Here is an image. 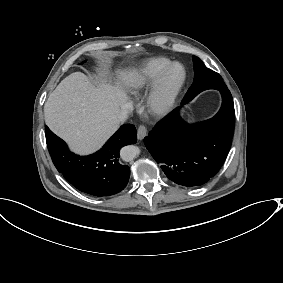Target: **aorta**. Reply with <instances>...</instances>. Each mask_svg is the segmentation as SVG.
Instances as JSON below:
<instances>
[{"label": "aorta", "mask_w": 283, "mask_h": 283, "mask_svg": "<svg viewBox=\"0 0 283 283\" xmlns=\"http://www.w3.org/2000/svg\"><path fill=\"white\" fill-rule=\"evenodd\" d=\"M140 153V149L134 145H128L121 149L120 156L126 161H132L138 154Z\"/></svg>", "instance_id": "1"}]
</instances>
